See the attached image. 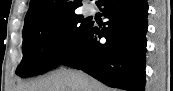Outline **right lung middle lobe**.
I'll return each instance as SVG.
<instances>
[{
    "label": "right lung middle lobe",
    "instance_id": "obj_1",
    "mask_svg": "<svg viewBox=\"0 0 173 91\" xmlns=\"http://www.w3.org/2000/svg\"><path fill=\"white\" fill-rule=\"evenodd\" d=\"M91 23L76 13L23 28V59L16 70L20 77L49 71L74 50Z\"/></svg>",
    "mask_w": 173,
    "mask_h": 91
}]
</instances>
